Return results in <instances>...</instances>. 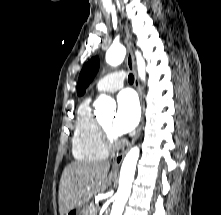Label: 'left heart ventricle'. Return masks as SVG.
<instances>
[{
    "label": "left heart ventricle",
    "mask_w": 221,
    "mask_h": 215,
    "mask_svg": "<svg viewBox=\"0 0 221 215\" xmlns=\"http://www.w3.org/2000/svg\"><path fill=\"white\" fill-rule=\"evenodd\" d=\"M102 123L106 125L107 127L111 128V119L104 120L102 121Z\"/></svg>",
    "instance_id": "left-heart-ventricle-1"
}]
</instances>
